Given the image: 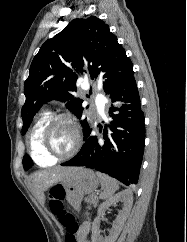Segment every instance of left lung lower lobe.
<instances>
[{
	"label": "left lung lower lobe",
	"mask_w": 187,
	"mask_h": 242,
	"mask_svg": "<svg viewBox=\"0 0 187 242\" xmlns=\"http://www.w3.org/2000/svg\"><path fill=\"white\" fill-rule=\"evenodd\" d=\"M115 104L109 110L110 123L103 136H85L79 153L62 166H84L95 169L129 186L137 184L145 142L144 113L134 76L111 94ZM100 127V131H101Z\"/></svg>",
	"instance_id": "left-lung-lower-lobe-1"
}]
</instances>
